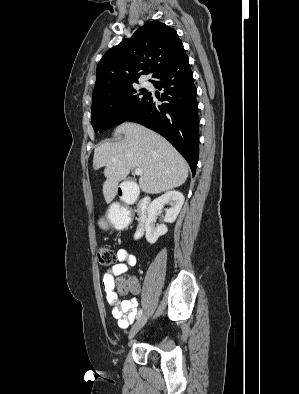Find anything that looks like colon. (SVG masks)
I'll use <instances>...</instances> for the list:
<instances>
[{
	"mask_svg": "<svg viewBox=\"0 0 299 394\" xmlns=\"http://www.w3.org/2000/svg\"><path fill=\"white\" fill-rule=\"evenodd\" d=\"M98 263L102 267H107L114 264L117 260L115 251L109 246H100L97 249ZM114 287L116 286L121 293L130 291L131 281L130 279L119 278L113 282Z\"/></svg>",
	"mask_w": 299,
	"mask_h": 394,
	"instance_id": "obj_1",
	"label": "colon"
}]
</instances>
